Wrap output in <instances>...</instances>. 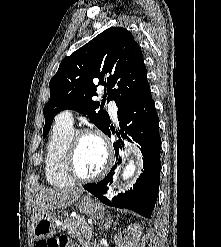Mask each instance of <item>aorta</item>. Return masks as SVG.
Returning a JSON list of instances; mask_svg holds the SVG:
<instances>
[{
    "mask_svg": "<svg viewBox=\"0 0 221 247\" xmlns=\"http://www.w3.org/2000/svg\"><path fill=\"white\" fill-rule=\"evenodd\" d=\"M136 166L134 164V160L130 159L126 164L124 170L122 171V178L127 180L128 178L132 177L135 173Z\"/></svg>",
    "mask_w": 221,
    "mask_h": 247,
    "instance_id": "obj_1",
    "label": "aorta"
}]
</instances>
